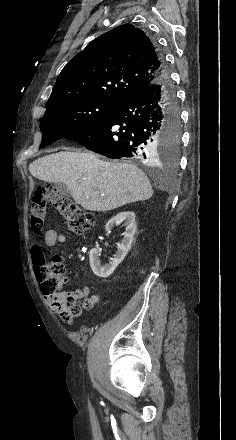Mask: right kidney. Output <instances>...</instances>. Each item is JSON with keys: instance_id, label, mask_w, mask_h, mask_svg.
Returning <instances> with one entry per match:
<instances>
[{"instance_id": "obj_1", "label": "right kidney", "mask_w": 236, "mask_h": 440, "mask_svg": "<svg viewBox=\"0 0 236 440\" xmlns=\"http://www.w3.org/2000/svg\"><path fill=\"white\" fill-rule=\"evenodd\" d=\"M124 222V226H126V230L123 233L124 238L120 244L117 246V253L115 257L108 264L101 265L99 260V256L101 254V250L98 248L91 249L89 253L90 266L93 273L102 278H106L110 276L116 267L124 260L128 251L131 248V244L134 239V234L136 232V221H135V213L132 211L120 212L116 216L112 217L106 224L105 229L107 231L111 230L115 225Z\"/></svg>"}]
</instances>
